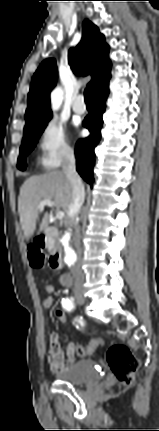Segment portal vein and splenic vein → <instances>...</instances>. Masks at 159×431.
<instances>
[{
    "label": "portal vein and splenic vein",
    "instance_id": "portal-vein-and-splenic-vein-1",
    "mask_svg": "<svg viewBox=\"0 0 159 431\" xmlns=\"http://www.w3.org/2000/svg\"><path fill=\"white\" fill-rule=\"evenodd\" d=\"M45 206L53 207L54 203L50 199H44L39 203L37 208H38V210L42 211V210H44ZM56 217H57V219L62 220L64 218V212L63 211H57Z\"/></svg>",
    "mask_w": 159,
    "mask_h": 431
}]
</instances>
